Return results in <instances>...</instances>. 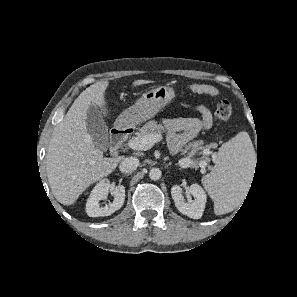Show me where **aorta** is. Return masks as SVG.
Instances as JSON below:
<instances>
[{
  "label": "aorta",
  "mask_w": 297,
  "mask_h": 297,
  "mask_svg": "<svg viewBox=\"0 0 297 297\" xmlns=\"http://www.w3.org/2000/svg\"><path fill=\"white\" fill-rule=\"evenodd\" d=\"M162 172L159 168H152L149 172V177L151 180H158L161 178Z\"/></svg>",
  "instance_id": "1"
}]
</instances>
